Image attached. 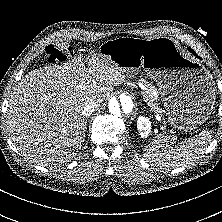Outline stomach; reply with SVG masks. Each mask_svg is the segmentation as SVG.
<instances>
[{
  "mask_svg": "<svg viewBox=\"0 0 222 222\" xmlns=\"http://www.w3.org/2000/svg\"><path fill=\"white\" fill-rule=\"evenodd\" d=\"M99 56L128 73L144 68L158 84L168 121L179 129H194L209 118L215 104L213 77L176 40L115 38L101 44Z\"/></svg>",
  "mask_w": 222,
  "mask_h": 222,
  "instance_id": "1",
  "label": "stomach"
}]
</instances>
